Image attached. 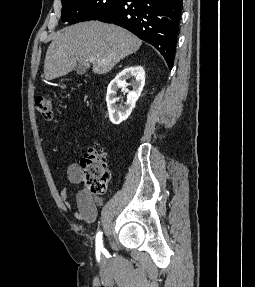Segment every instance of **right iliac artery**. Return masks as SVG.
<instances>
[{"instance_id":"obj_1","label":"right iliac artery","mask_w":255,"mask_h":287,"mask_svg":"<svg viewBox=\"0 0 255 287\" xmlns=\"http://www.w3.org/2000/svg\"><path fill=\"white\" fill-rule=\"evenodd\" d=\"M103 250V244H102V232H98L96 236V251L100 252Z\"/></svg>"}]
</instances>
